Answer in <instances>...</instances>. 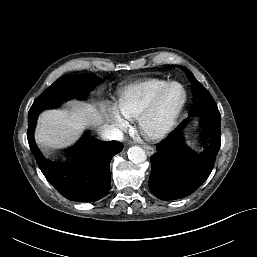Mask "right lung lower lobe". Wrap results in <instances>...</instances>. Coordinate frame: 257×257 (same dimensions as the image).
I'll use <instances>...</instances> for the list:
<instances>
[{
  "label": "right lung lower lobe",
  "instance_id": "right-lung-lower-lobe-1",
  "mask_svg": "<svg viewBox=\"0 0 257 257\" xmlns=\"http://www.w3.org/2000/svg\"><path fill=\"white\" fill-rule=\"evenodd\" d=\"M36 122L28 120V142L40 170L49 183L72 201L93 202L101 199L110 188L111 159L122 150L123 145L115 141L103 142L93 137L76 160L52 161L40 152L35 143Z\"/></svg>",
  "mask_w": 257,
  "mask_h": 257
}]
</instances>
